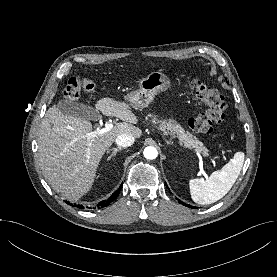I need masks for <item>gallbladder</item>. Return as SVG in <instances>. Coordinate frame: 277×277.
<instances>
[{
    "label": "gallbladder",
    "mask_w": 277,
    "mask_h": 277,
    "mask_svg": "<svg viewBox=\"0 0 277 277\" xmlns=\"http://www.w3.org/2000/svg\"><path fill=\"white\" fill-rule=\"evenodd\" d=\"M57 107L63 114L68 116L87 120H96L100 117L99 113L93 107L70 100L59 101Z\"/></svg>",
    "instance_id": "bac80fb5"
}]
</instances>
